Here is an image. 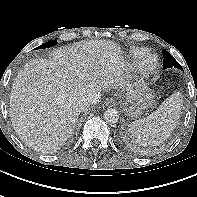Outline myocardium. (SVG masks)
<instances>
[{"label":"myocardium","instance_id":"myocardium-1","mask_svg":"<svg viewBox=\"0 0 197 197\" xmlns=\"http://www.w3.org/2000/svg\"><path fill=\"white\" fill-rule=\"evenodd\" d=\"M158 67V58L154 54H148L140 61L138 70L142 75L153 73Z\"/></svg>","mask_w":197,"mask_h":197}]
</instances>
